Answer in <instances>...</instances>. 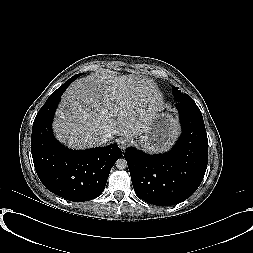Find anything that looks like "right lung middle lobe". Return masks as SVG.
Wrapping results in <instances>:
<instances>
[{"mask_svg":"<svg viewBox=\"0 0 253 253\" xmlns=\"http://www.w3.org/2000/svg\"><path fill=\"white\" fill-rule=\"evenodd\" d=\"M80 75H82V73H81V74H76V75H74L73 77H71L70 79L74 80V79H76L77 77H79ZM51 95H52V94H51ZM51 95H50V96H51ZM50 96H49V97H50Z\"/></svg>","mask_w":253,"mask_h":253,"instance_id":"1","label":"right lung middle lobe"}]
</instances>
